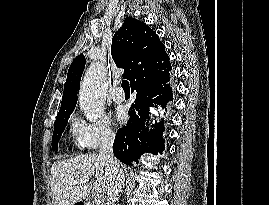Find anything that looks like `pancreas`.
Wrapping results in <instances>:
<instances>
[{"label": "pancreas", "instance_id": "1", "mask_svg": "<svg viewBox=\"0 0 269 205\" xmlns=\"http://www.w3.org/2000/svg\"><path fill=\"white\" fill-rule=\"evenodd\" d=\"M89 205H95L93 202L91 203V204H89Z\"/></svg>", "mask_w": 269, "mask_h": 205}]
</instances>
